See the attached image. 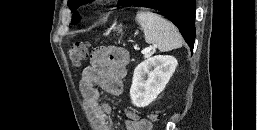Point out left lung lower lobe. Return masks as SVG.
<instances>
[{"label": "left lung lower lobe", "instance_id": "1", "mask_svg": "<svg viewBox=\"0 0 257 130\" xmlns=\"http://www.w3.org/2000/svg\"><path fill=\"white\" fill-rule=\"evenodd\" d=\"M135 5L154 9L172 21L179 28L191 50L193 49L196 0H137Z\"/></svg>", "mask_w": 257, "mask_h": 130}]
</instances>
